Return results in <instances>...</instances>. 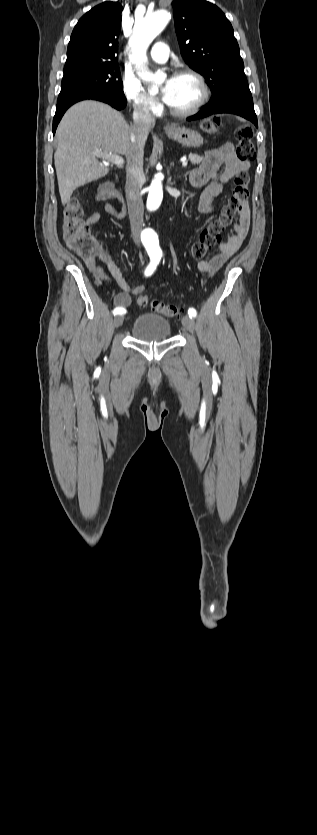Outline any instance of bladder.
I'll return each instance as SVG.
<instances>
[{"mask_svg":"<svg viewBox=\"0 0 317 835\" xmlns=\"http://www.w3.org/2000/svg\"><path fill=\"white\" fill-rule=\"evenodd\" d=\"M133 338L144 342L167 340L171 337L172 326L168 319L158 314H143L132 324Z\"/></svg>","mask_w":317,"mask_h":835,"instance_id":"bladder-1","label":"bladder"}]
</instances>
